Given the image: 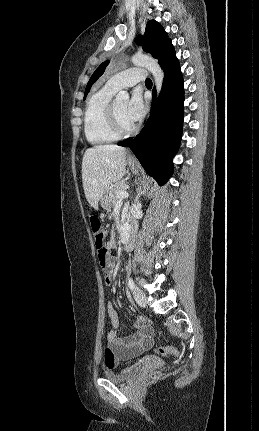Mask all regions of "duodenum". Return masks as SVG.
Returning <instances> with one entry per match:
<instances>
[{"label":"duodenum","mask_w":259,"mask_h":431,"mask_svg":"<svg viewBox=\"0 0 259 431\" xmlns=\"http://www.w3.org/2000/svg\"><path fill=\"white\" fill-rule=\"evenodd\" d=\"M135 233L136 227L133 223H130L123 233L124 249L130 250L133 247Z\"/></svg>","instance_id":"1"}]
</instances>
